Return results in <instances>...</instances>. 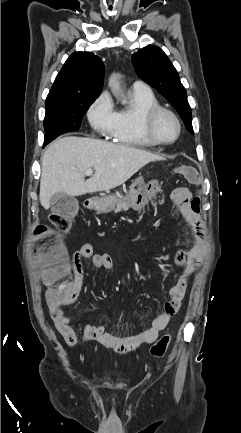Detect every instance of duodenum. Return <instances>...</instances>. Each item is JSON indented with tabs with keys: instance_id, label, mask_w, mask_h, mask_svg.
Instances as JSON below:
<instances>
[{
	"instance_id": "obj_1",
	"label": "duodenum",
	"mask_w": 241,
	"mask_h": 433,
	"mask_svg": "<svg viewBox=\"0 0 241 433\" xmlns=\"http://www.w3.org/2000/svg\"><path fill=\"white\" fill-rule=\"evenodd\" d=\"M85 204H86V206L88 208H94L98 204V201L97 200H93V199H87L85 201Z\"/></svg>"
}]
</instances>
